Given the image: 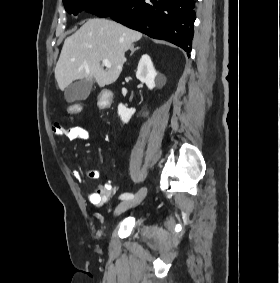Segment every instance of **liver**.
<instances>
[{
  "label": "liver",
  "instance_id": "6515ba94",
  "mask_svg": "<svg viewBox=\"0 0 280 283\" xmlns=\"http://www.w3.org/2000/svg\"><path fill=\"white\" fill-rule=\"evenodd\" d=\"M142 38V33L107 19H89L67 37L55 67L60 90L75 80H95L99 87L114 83L126 61L125 52ZM111 67L103 68L101 61Z\"/></svg>",
  "mask_w": 280,
  "mask_h": 283
}]
</instances>
